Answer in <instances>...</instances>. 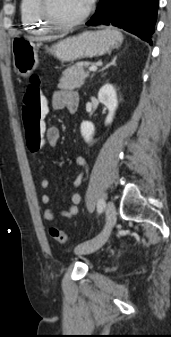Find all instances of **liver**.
<instances>
[{
    "instance_id": "obj_1",
    "label": "liver",
    "mask_w": 171,
    "mask_h": 337,
    "mask_svg": "<svg viewBox=\"0 0 171 337\" xmlns=\"http://www.w3.org/2000/svg\"><path fill=\"white\" fill-rule=\"evenodd\" d=\"M56 37L54 36H45V37H35V38H30L31 41H46V40H51Z\"/></svg>"
}]
</instances>
